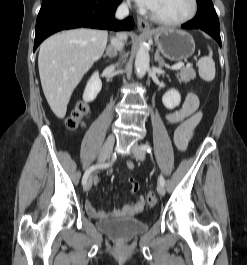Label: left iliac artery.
Masks as SVG:
<instances>
[{
	"label": "left iliac artery",
	"mask_w": 247,
	"mask_h": 265,
	"mask_svg": "<svg viewBox=\"0 0 247 265\" xmlns=\"http://www.w3.org/2000/svg\"><path fill=\"white\" fill-rule=\"evenodd\" d=\"M141 149H143L144 151H147L148 153H151V151H152V148L149 144L141 145ZM159 182L161 185H163V186L165 185V180H164L162 175H160V177H159Z\"/></svg>",
	"instance_id": "obj_1"
}]
</instances>
